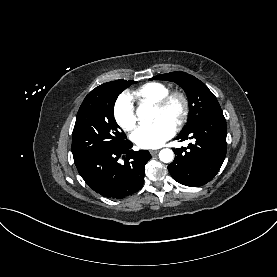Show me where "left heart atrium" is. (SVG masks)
I'll use <instances>...</instances> for the list:
<instances>
[{
  "instance_id": "1",
  "label": "left heart atrium",
  "mask_w": 277,
  "mask_h": 277,
  "mask_svg": "<svg viewBox=\"0 0 277 277\" xmlns=\"http://www.w3.org/2000/svg\"><path fill=\"white\" fill-rule=\"evenodd\" d=\"M176 132L175 123L160 118L150 125L138 127L132 134V140L143 149H154L162 146Z\"/></svg>"
}]
</instances>
